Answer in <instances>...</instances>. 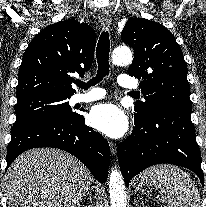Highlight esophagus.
Instances as JSON below:
<instances>
[{"mask_svg": "<svg viewBox=\"0 0 206 207\" xmlns=\"http://www.w3.org/2000/svg\"><path fill=\"white\" fill-rule=\"evenodd\" d=\"M99 21L101 25L105 28H108L111 25V16L106 10H102L99 14ZM110 151L112 157H115L117 155V144L113 141L109 143Z\"/></svg>", "mask_w": 206, "mask_h": 207, "instance_id": "obj_1", "label": "esophagus"}]
</instances>
